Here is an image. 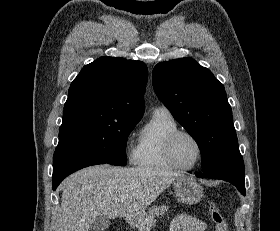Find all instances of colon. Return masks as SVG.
Returning <instances> with one entry per match:
<instances>
[{"instance_id": "5ec220e1", "label": "colon", "mask_w": 280, "mask_h": 231, "mask_svg": "<svg viewBox=\"0 0 280 231\" xmlns=\"http://www.w3.org/2000/svg\"><path fill=\"white\" fill-rule=\"evenodd\" d=\"M210 217L215 225L216 231H228V226L221 210L214 203H208Z\"/></svg>"}]
</instances>
